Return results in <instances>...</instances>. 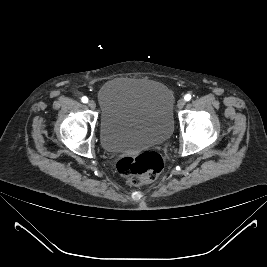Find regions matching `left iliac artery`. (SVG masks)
<instances>
[{"instance_id": "obj_1", "label": "left iliac artery", "mask_w": 267, "mask_h": 267, "mask_svg": "<svg viewBox=\"0 0 267 267\" xmlns=\"http://www.w3.org/2000/svg\"><path fill=\"white\" fill-rule=\"evenodd\" d=\"M184 98H185L186 101H189L191 99V95L187 94Z\"/></svg>"}]
</instances>
